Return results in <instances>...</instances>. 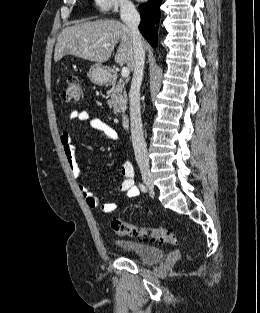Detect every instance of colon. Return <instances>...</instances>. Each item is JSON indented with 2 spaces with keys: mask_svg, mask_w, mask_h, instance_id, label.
<instances>
[{
  "mask_svg": "<svg viewBox=\"0 0 260 313\" xmlns=\"http://www.w3.org/2000/svg\"><path fill=\"white\" fill-rule=\"evenodd\" d=\"M82 91L77 77H70L66 81L63 99L67 102L78 101ZM110 226L113 231L121 236L134 237L141 240H153L160 243L176 244V235L163 227H140L120 219H112Z\"/></svg>",
  "mask_w": 260,
  "mask_h": 313,
  "instance_id": "colon-1",
  "label": "colon"
}]
</instances>
